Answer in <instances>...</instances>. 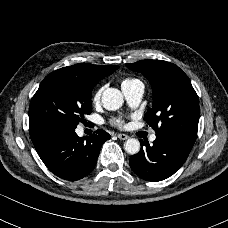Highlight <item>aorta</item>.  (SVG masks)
<instances>
[{
	"label": "aorta",
	"mask_w": 228,
	"mask_h": 228,
	"mask_svg": "<svg viewBox=\"0 0 228 228\" xmlns=\"http://www.w3.org/2000/svg\"><path fill=\"white\" fill-rule=\"evenodd\" d=\"M123 95L116 88H107L102 94L103 107L107 110L115 111L123 104ZM125 151L131 155L136 154L140 150V142L137 139L130 138L124 144Z\"/></svg>",
	"instance_id": "aorta-1"
}]
</instances>
